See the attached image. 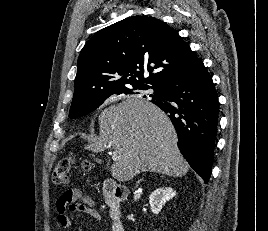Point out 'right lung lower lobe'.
I'll return each instance as SVG.
<instances>
[{
	"label": "right lung lower lobe",
	"mask_w": 268,
	"mask_h": 231,
	"mask_svg": "<svg viewBox=\"0 0 268 231\" xmlns=\"http://www.w3.org/2000/svg\"><path fill=\"white\" fill-rule=\"evenodd\" d=\"M171 119L178 147L192 169L208 183L217 134L219 103L204 64L195 72L169 80L152 99Z\"/></svg>",
	"instance_id": "right-lung-lower-lobe-1"
}]
</instances>
